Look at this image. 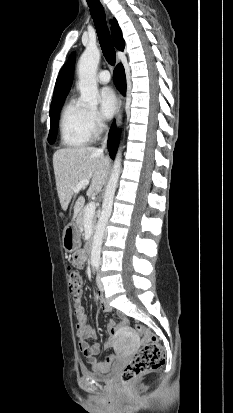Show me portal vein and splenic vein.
<instances>
[{
    "instance_id": "1",
    "label": "portal vein and splenic vein",
    "mask_w": 233,
    "mask_h": 413,
    "mask_svg": "<svg viewBox=\"0 0 233 413\" xmlns=\"http://www.w3.org/2000/svg\"><path fill=\"white\" fill-rule=\"evenodd\" d=\"M87 185H89V180H81L73 189L75 193H78L81 189L85 188ZM95 202H91L88 204L85 210V219L93 218L95 214Z\"/></svg>"
}]
</instances>
